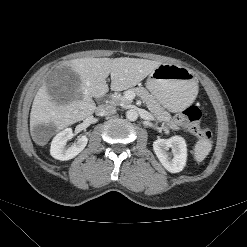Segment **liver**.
Returning a JSON list of instances; mask_svg holds the SVG:
<instances>
[{
  "instance_id": "1",
  "label": "liver",
  "mask_w": 247,
  "mask_h": 247,
  "mask_svg": "<svg viewBox=\"0 0 247 247\" xmlns=\"http://www.w3.org/2000/svg\"><path fill=\"white\" fill-rule=\"evenodd\" d=\"M160 64L157 61L128 57L80 58L65 62L63 65L79 76L77 97L58 104L50 97L46 85L43 84L33 100L30 113L31 130L39 124H51L59 131L87 118L96 109L92 97H101L108 92L106 79L109 75L111 90L123 91L136 86Z\"/></svg>"
}]
</instances>
